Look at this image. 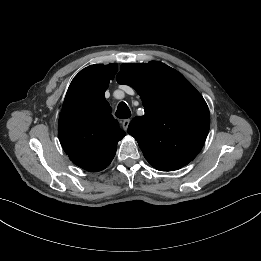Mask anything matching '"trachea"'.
<instances>
[{
	"instance_id": "trachea-1",
	"label": "trachea",
	"mask_w": 261,
	"mask_h": 261,
	"mask_svg": "<svg viewBox=\"0 0 261 261\" xmlns=\"http://www.w3.org/2000/svg\"><path fill=\"white\" fill-rule=\"evenodd\" d=\"M115 115L117 118L127 119L131 117V111L125 102H120Z\"/></svg>"
}]
</instances>
